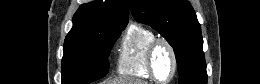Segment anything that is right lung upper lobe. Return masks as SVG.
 <instances>
[{
  "mask_svg": "<svg viewBox=\"0 0 260 84\" xmlns=\"http://www.w3.org/2000/svg\"><path fill=\"white\" fill-rule=\"evenodd\" d=\"M129 10L126 0H96L83 4L73 16V27L66 36L65 43L89 40L93 34L105 27L125 26Z\"/></svg>",
  "mask_w": 260,
  "mask_h": 84,
  "instance_id": "obj_1",
  "label": "right lung upper lobe"
}]
</instances>
